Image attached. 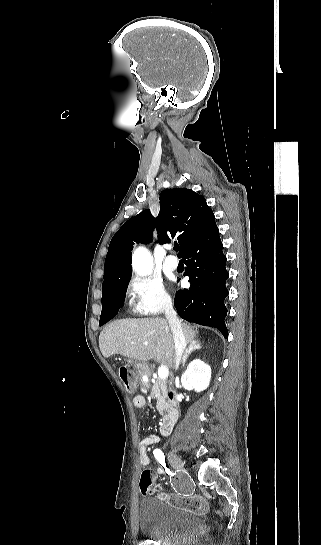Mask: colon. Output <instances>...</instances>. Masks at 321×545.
<instances>
[{
	"instance_id": "obj_1",
	"label": "colon",
	"mask_w": 321,
	"mask_h": 545,
	"mask_svg": "<svg viewBox=\"0 0 321 545\" xmlns=\"http://www.w3.org/2000/svg\"><path fill=\"white\" fill-rule=\"evenodd\" d=\"M118 375L128 391L135 389L134 376L127 367L120 366L118 368ZM139 487L142 493L159 492V488L154 485V475L151 470L144 469L142 471ZM161 496L175 506L199 514H204L207 511L205 499L198 495L166 494L161 492Z\"/></svg>"
}]
</instances>
